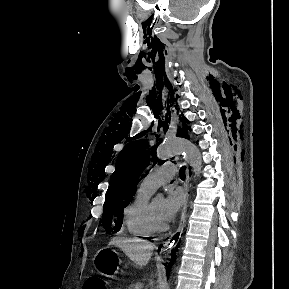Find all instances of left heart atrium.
I'll use <instances>...</instances> for the list:
<instances>
[{"label":"left heart atrium","instance_id":"left-heart-atrium-1","mask_svg":"<svg viewBox=\"0 0 289 289\" xmlns=\"http://www.w3.org/2000/svg\"><path fill=\"white\" fill-rule=\"evenodd\" d=\"M185 195L179 188H172L168 191L164 200L163 218L165 221H172L184 204Z\"/></svg>","mask_w":289,"mask_h":289}]
</instances>
